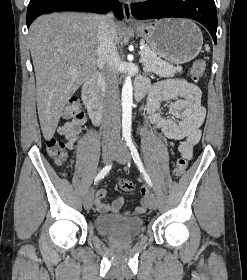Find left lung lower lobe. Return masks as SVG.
<instances>
[{
  "instance_id": "left-lung-lower-lobe-1",
  "label": "left lung lower lobe",
  "mask_w": 247,
  "mask_h": 280,
  "mask_svg": "<svg viewBox=\"0 0 247 280\" xmlns=\"http://www.w3.org/2000/svg\"><path fill=\"white\" fill-rule=\"evenodd\" d=\"M137 19L166 17L190 18L200 22L210 32L216 44L217 13L214 0H149L131 5Z\"/></svg>"
}]
</instances>
